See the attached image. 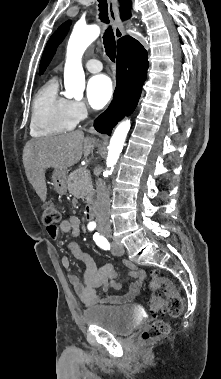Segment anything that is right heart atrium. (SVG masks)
I'll use <instances>...</instances> for the list:
<instances>
[{
  "label": "right heart atrium",
  "mask_w": 221,
  "mask_h": 379,
  "mask_svg": "<svg viewBox=\"0 0 221 379\" xmlns=\"http://www.w3.org/2000/svg\"><path fill=\"white\" fill-rule=\"evenodd\" d=\"M70 108L76 122L83 120L88 112L86 105L81 101L70 100Z\"/></svg>",
  "instance_id": "1"
}]
</instances>
